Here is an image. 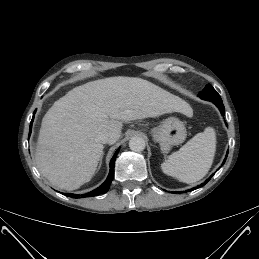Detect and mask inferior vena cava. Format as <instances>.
I'll return each instance as SVG.
<instances>
[{
  "instance_id": "obj_1",
  "label": "inferior vena cava",
  "mask_w": 259,
  "mask_h": 259,
  "mask_svg": "<svg viewBox=\"0 0 259 259\" xmlns=\"http://www.w3.org/2000/svg\"><path fill=\"white\" fill-rule=\"evenodd\" d=\"M96 140H97L98 142H100V143H103V144L108 143L109 140H110V135H109V133H107V132L100 133V134L97 136Z\"/></svg>"
}]
</instances>
